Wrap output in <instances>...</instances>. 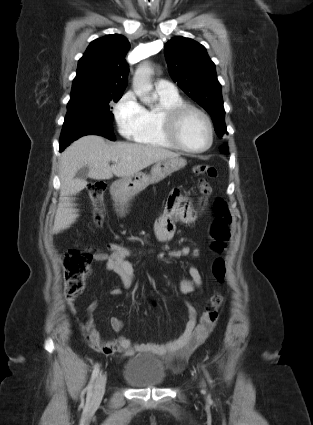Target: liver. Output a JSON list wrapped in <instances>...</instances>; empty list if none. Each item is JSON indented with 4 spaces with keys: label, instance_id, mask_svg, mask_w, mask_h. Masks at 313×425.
<instances>
[{
    "label": "liver",
    "instance_id": "obj_1",
    "mask_svg": "<svg viewBox=\"0 0 313 425\" xmlns=\"http://www.w3.org/2000/svg\"><path fill=\"white\" fill-rule=\"evenodd\" d=\"M175 157H179V154L161 147L127 142L108 144L97 135H87L76 140L64 150L60 159V197L53 233L68 229L79 217L72 196L87 186L85 180L75 179L82 167H89L88 176L92 179L105 180L113 176L125 178L158 161ZM112 159L118 162L110 166Z\"/></svg>",
    "mask_w": 313,
    "mask_h": 425
}]
</instances>
